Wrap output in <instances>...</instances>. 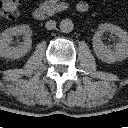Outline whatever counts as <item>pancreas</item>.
I'll list each match as a JSON object with an SVG mask.
<instances>
[{
  "instance_id": "obj_1",
  "label": "pancreas",
  "mask_w": 128,
  "mask_h": 128,
  "mask_svg": "<svg viewBox=\"0 0 128 128\" xmlns=\"http://www.w3.org/2000/svg\"><path fill=\"white\" fill-rule=\"evenodd\" d=\"M44 6L53 14L67 9L69 5L66 2H59V0H46Z\"/></svg>"
}]
</instances>
